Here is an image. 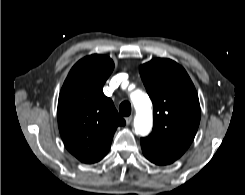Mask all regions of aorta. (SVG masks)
<instances>
[{
  "label": "aorta",
  "mask_w": 245,
  "mask_h": 195,
  "mask_svg": "<svg viewBox=\"0 0 245 195\" xmlns=\"http://www.w3.org/2000/svg\"><path fill=\"white\" fill-rule=\"evenodd\" d=\"M131 100L136 110V117L134 119L135 132L141 136H146L151 131L153 124L151 101L140 90H136L131 94Z\"/></svg>",
  "instance_id": "aorta-1"
}]
</instances>
